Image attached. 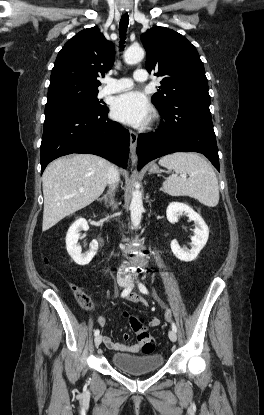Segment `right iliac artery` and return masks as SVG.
I'll return each instance as SVG.
<instances>
[{"instance_id": "right-iliac-artery-1", "label": "right iliac artery", "mask_w": 264, "mask_h": 415, "mask_svg": "<svg viewBox=\"0 0 264 415\" xmlns=\"http://www.w3.org/2000/svg\"><path fill=\"white\" fill-rule=\"evenodd\" d=\"M130 292H131V286H129V287H127V288H125V289L122 291V293H121V297H126V296H128V295L130 294ZM99 333H100L99 329H96V330L94 331V335H95V336L99 335Z\"/></svg>"}]
</instances>
